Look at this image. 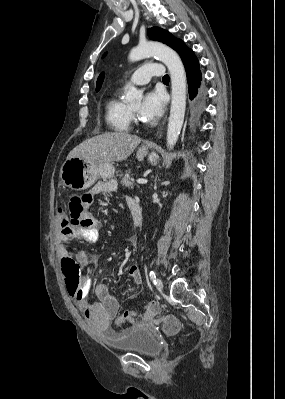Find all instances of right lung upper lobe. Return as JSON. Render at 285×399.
<instances>
[{
	"label": "right lung upper lobe",
	"instance_id": "cb5924a9",
	"mask_svg": "<svg viewBox=\"0 0 285 399\" xmlns=\"http://www.w3.org/2000/svg\"><path fill=\"white\" fill-rule=\"evenodd\" d=\"M103 78H104V73H101L100 76L98 77L97 80V85H96V90L98 91L101 86H102V82H103Z\"/></svg>",
	"mask_w": 285,
	"mask_h": 399
}]
</instances>
